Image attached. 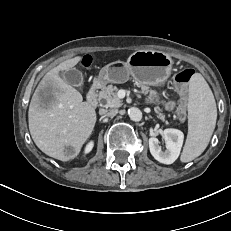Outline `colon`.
I'll use <instances>...</instances> for the list:
<instances>
[{
  "instance_id": "5ec220e1",
  "label": "colon",
  "mask_w": 231,
  "mask_h": 231,
  "mask_svg": "<svg viewBox=\"0 0 231 231\" xmlns=\"http://www.w3.org/2000/svg\"><path fill=\"white\" fill-rule=\"evenodd\" d=\"M91 63L90 57H85L83 59V65L89 66ZM194 70L191 68H185L179 71L174 76V84L177 90L181 93L182 97L179 101L177 115L180 120H184L186 117V106H187V98L185 96L187 86L191 78L194 76Z\"/></svg>"
}]
</instances>
